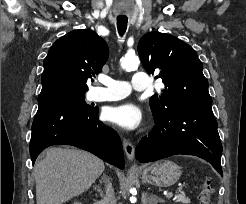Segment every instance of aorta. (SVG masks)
<instances>
[{
    "instance_id": "obj_1",
    "label": "aorta",
    "mask_w": 246,
    "mask_h": 204,
    "mask_svg": "<svg viewBox=\"0 0 246 204\" xmlns=\"http://www.w3.org/2000/svg\"><path fill=\"white\" fill-rule=\"evenodd\" d=\"M139 64L140 60L135 55H125V57L121 59V67L123 69H132L138 67Z\"/></svg>"
}]
</instances>
